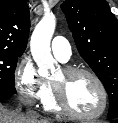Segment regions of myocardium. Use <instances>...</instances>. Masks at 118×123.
<instances>
[{
  "mask_svg": "<svg viewBox=\"0 0 118 123\" xmlns=\"http://www.w3.org/2000/svg\"><path fill=\"white\" fill-rule=\"evenodd\" d=\"M62 71L66 77H73L76 75H87L90 78H92L100 90L101 97H102V104L100 109L94 114H81L75 111L69 105V103L67 102L65 98L63 87L51 82L53 96L59 110L79 120H94L103 116L108 107V92H107L106 86L104 85L100 77L93 71L86 68H82V67L66 66L62 69Z\"/></svg>",
  "mask_w": 118,
  "mask_h": 123,
  "instance_id": "myocardium-1",
  "label": "myocardium"
}]
</instances>
